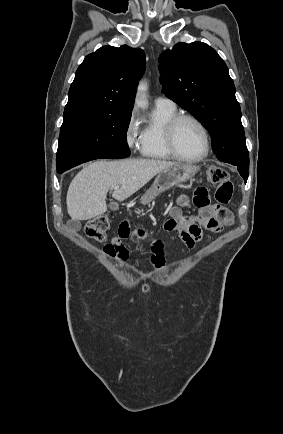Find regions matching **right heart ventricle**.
I'll list each match as a JSON object with an SVG mask.
<instances>
[{
	"label": "right heart ventricle",
	"instance_id": "obj_1",
	"mask_svg": "<svg viewBox=\"0 0 283 434\" xmlns=\"http://www.w3.org/2000/svg\"><path fill=\"white\" fill-rule=\"evenodd\" d=\"M177 114L176 108L155 107L150 121L141 131L140 152L142 156L154 160H172L165 142V126Z\"/></svg>",
	"mask_w": 283,
	"mask_h": 434
}]
</instances>
